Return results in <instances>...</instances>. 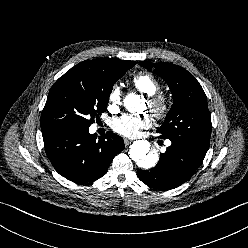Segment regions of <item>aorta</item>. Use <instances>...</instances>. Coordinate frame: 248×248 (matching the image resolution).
<instances>
[{"label": "aorta", "instance_id": "aorta-1", "mask_svg": "<svg viewBox=\"0 0 248 248\" xmlns=\"http://www.w3.org/2000/svg\"><path fill=\"white\" fill-rule=\"evenodd\" d=\"M142 98L136 94H128L124 98V106L129 112H137L142 106ZM150 143L147 140H137L132 143L129 149V156L137 162L139 167L150 169L158 161V154L150 151Z\"/></svg>", "mask_w": 248, "mask_h": 248}]
</instances>
